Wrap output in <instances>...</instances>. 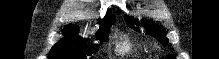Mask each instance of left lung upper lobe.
I'll use <instances>...</instances> for the list:
<instances>
[{"label": "left lung upper lobe", "mask_w": 219, "mask_h": 59, "mask_svg": "<svg viewBox=\"0 0 219 59\" xmlns=\"http://www.w3.org/2000/svg\"><path fill=\"white\" fill-rule=\"evenodd\" d=\"M126 22L131 28L135 29L136 31H139L133 27V24L135 22L132 17L126 16ZM145 27L148 29V34L155 36L157 40H159L162 44L164 45L168 44V39L165 37L166 32L163 28H161L160 26H157L156 24L149 23V22L145 24ZM167 58L175 59V57H172V56H168Z\"/></svg>", "instance_id": "left-lung-upper-lobe-1"}]
</instances>
